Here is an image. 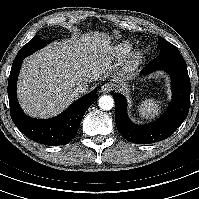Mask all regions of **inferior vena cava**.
Segmentation results:
<instances>
[{
	"label": "inferior vena cava",
	"instance_id": "inferior-vena-cava-1",
	"mask_svg": "<svg viewBox=\"0 0 199 199\" xmlns=\"http://www.w3.org/2000/svg\"><path fill=\"white\" fill-rule=\"evenodd\" d=\"M87 90H88L87 82H79L74 87V93L78 96L85 93Z\"/></svg>",
	"mask_w": 199,
	"mask_h": 199
}]
</instances>
